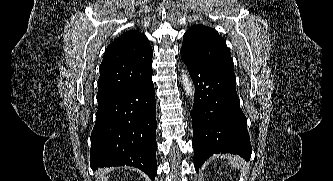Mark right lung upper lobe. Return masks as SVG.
<instances>
[{
	"label": "right lung upper lobe",
	"instance_id": "right-lung-upper-lobe-1",
	"mask_svg": "<svg viewBox=\"0 0 333 181\" xmlns=\"http://www.w3.org/2000/svg\"><path fill=\"white\" fill-rule=\"evenodd\" d=\"M152 48L147 37L130 30L106 49L100 65L97 101L101 102L152 76Z\"/></svg>",
	"mask_w": 333,
	"mask_h": 181
}]
</instances>
